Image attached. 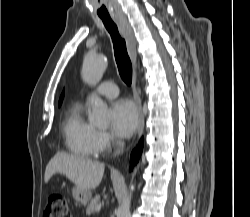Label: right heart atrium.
Listing matches in <instances>:
<instances>
[{
    "mask_svg": "<svg viewBox=\"0 0 250 217\" xmlns=\"http://www.w3.org/2000/svg\"><path fill=\"white\" fill-rule=\"evenodd\" d=\"M117 141L107 132L98 131L96 135V149L98 153L109 151Z\"/></svg>",
    "mask_w": 250,
    "mask_h": 217,
    "instance_id": "right-heart-atrium-1",
    "label": "right heart atrium"
}]
</instances>
